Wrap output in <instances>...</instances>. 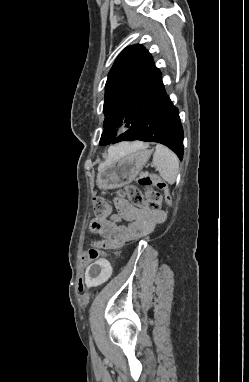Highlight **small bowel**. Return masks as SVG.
Listing matches in <instances>:
<instances>
[{"instance_id":"small-bowel-1","label":"small bowel","mask_w":249,"mask_h":382,"mask_svg":"<svg viewBox=\"0 0 249 382\" xmlns=\"http://www.w3.org/2000/svg\"><path fill=\"white\" fill-rule=\"evenodd\" d=\"M115 206L116 214L111 217L96 216L90 225L91 231L102 237L100 246L108 249L120 247L150 234L166 217L163 211L156 212L135 207L124 198H117ZM121 221L128 224L122 225Z\"/></svg>"}]
</instances>
